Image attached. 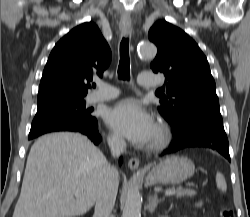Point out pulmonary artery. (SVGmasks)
I'll return each instance as SVG.
<instances>
[{"instance_id":"e3ab8cb5","label":"pulmonary artery","mask_w":250,"mask_h":217,"mask_svg":"<svg viewBox=\"0 0 250 217\" xmlns=\"http://www.w3.org/2000/svg\"><path fill=\"white\" fill-rule=\"evenodd\" d=\"M138 84L144 88H154L158 87L160 82L151 73H141L138 77ZM118 95V89L107 83L99 82L98 90L88 96V101L90 103L109 101Z\"/></svg>"}]
</instances>
